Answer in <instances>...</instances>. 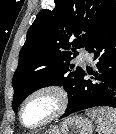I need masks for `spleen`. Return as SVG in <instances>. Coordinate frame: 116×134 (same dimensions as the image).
I'll return each instance as SVG.
<instances>
[{"instance_id":"3e777b00","label":"spleen","mask_w":116,"mask_h":134,"mask_svg":"<svg viewBox=\"0 0 116 134\" xmlns=\"http://www.w3.org/2000/svg\"><path fill=\"white\" fill-rule=\"evenodd\" d=\"M87 115L96 121L99 134H116V109H92Z\"/></svg>"}]
</instances>
